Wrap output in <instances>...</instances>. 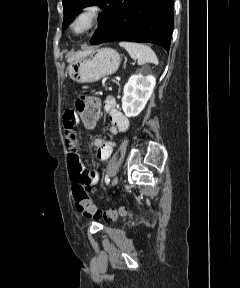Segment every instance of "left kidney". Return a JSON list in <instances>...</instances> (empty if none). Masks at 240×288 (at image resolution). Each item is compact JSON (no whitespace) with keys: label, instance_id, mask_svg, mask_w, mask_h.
I'll return each mask as SVG.
<instances>
[{"label":"left kidney","instance_id":"5707ae66","mask_svg":"<svg viewBox=\"0 0 240 288\" xmlns=\"http://www.w3.org/2000/svg\"><path fill=\"white\" fill-rule=\"evenodd\" d=\"M156 85V79L149 69H142L132 75L123 90L122 109L127 117H136L144 109Z\"/></svg>","mask_w":240,"mask_h":288}]
</instances>
